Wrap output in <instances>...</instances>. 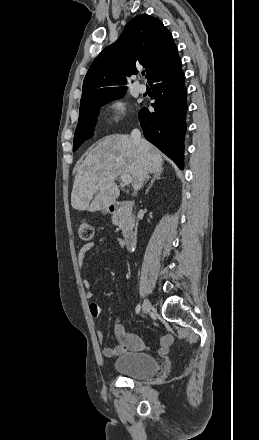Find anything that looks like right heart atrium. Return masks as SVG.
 Here are the masks:
<instances>
[{
  "label": "right heart atrium",
  "mask_w": 259,
  "mask_h": 440,
  "mask_svg": "<svg viewBox=\"0 0 259 440\" xmlns=\"http://www.w3.org/2000/svg\"><path fill=\"white\" fill-rule=\"evenodd\" d=\"M108 123L111 126L119 125L126 117L127 106L122 99H113L109 105Z\"/></svg>",
  "instance_id": "d8ad5b80"
}]
</instances>
